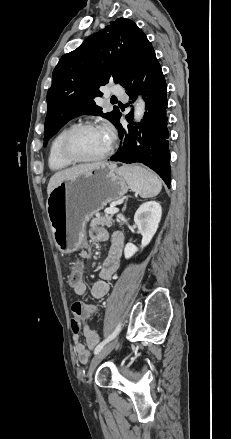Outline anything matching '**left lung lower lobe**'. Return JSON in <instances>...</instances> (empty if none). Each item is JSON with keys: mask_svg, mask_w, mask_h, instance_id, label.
Wrapping results in <instances>:
<instances>
[{"mask_svg": "<svg viewBox=\"0 0 231 439\" xmlns=\"http://www.w3.org/2000/svg\"><path fill=\"white\" fill-rule=\"evenodd\" d=\"M131 100L144 96L146 110L139 127L131 124L124 129L121 113L115 123L121 139L118 151L110 158L123 163H143L153 169L170 187V154L167 128V86L154 49L150 46L132 76L123 85ZM132 103V102H131ZM126 119L131 123L133 113Z\"/></svg>", "mask_w": 231, "mask_h": 439, "instance_id": "obj_1", "label": "left lung lower lobe"}]
</instances>
